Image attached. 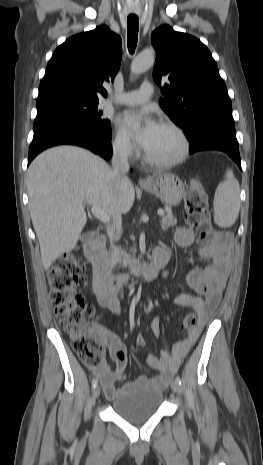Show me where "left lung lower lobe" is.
Segmentation results:
<instances>
[{
  "label": "left lung lower lobe",
  "instance_id": "obj_1",
  "mask_svg": "<svg viewBox=\"0 0 263 465\" xmlns=\"http://www.w3.org/2000/svg\"><path fill=\"white\" fill-rule=\"evenodd\" d=\"M189 141V154L201 150H220L227 153L241 169L234 121L212 118Z\"/></svg>",
  "mask_w": 263,
  "mask_h": 465
}]
</instances>
